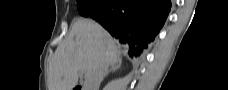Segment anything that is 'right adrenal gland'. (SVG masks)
<instances>
[{
	"instance_id": "1",
	"label": "right adrenal gland",
	"mask_w": 228,
	"mask_h": 90,
	"mask_svg": "<svg viewBox=\"0 0 228 90\" xmlns=\"http://www.w3.org/2000/svg\"><path fill=\"white\" fill-rule=\"evenodd\" d=\"M121 63V60H118L115 64H113L111 68L107 71L105 77H107L110 72L118 70L121 67Z\"/></svg>"
}]
</instances>
